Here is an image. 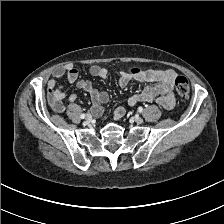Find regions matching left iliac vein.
Masks as SVG:
<instances>
[{"label": "left iliac vein", "mask_w": 224, "mask_h": 224, "mask_svg": "<svg viewBox=\"0 0 224 224\" xmlns=\"http://www.w3.org/2000/svg\"><path fill=\"white\" fill-rule=\"evenodd\" d=\"M134 120L137 124H142L143 123V119L139 116H136Z\"/></svg>", "instance_id": "obj_1"}]
</instances>
